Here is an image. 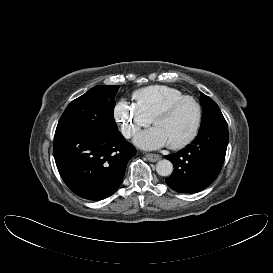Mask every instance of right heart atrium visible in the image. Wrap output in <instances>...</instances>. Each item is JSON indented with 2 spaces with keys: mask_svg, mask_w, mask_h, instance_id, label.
Instances as JSON below:
<instances>
[{
  "mask_svg": "<svg viewBox=\"0 0 273 273\" xmlns=\"http://www.w3.org/2000/svg\"><path fill=\"white\" fill-rule=\"evenodd\" d=\"M113 117L126 138L134 136L141 128L150 124L151 120L137 107L128 101H119L113 110Z\"/></svg>",
  "mask_w": 273,
  "mask_h": 273,
  "instance_id": "1",
  "label": "right heart atrium"
}]
</instances>
